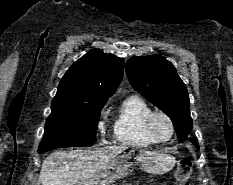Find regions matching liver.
Segmentation results:
<instances>
[{
  "label": "liver",
  "instance_id": "liver-1",
  "mask_svg": "<svg viewBox=\"0 0 233 185\" xmlns=\"http://www.w3.org/2000/svg\"><path fill=\"white\" fill-rule=\"evenodd\" d=\"M125 149L124 146H107L52 153L43 161L39 183L42 185H76L105 170Z\"/></svg>",
  "mask_w": 233,
  "mask_h": 185
}]
</instances>
